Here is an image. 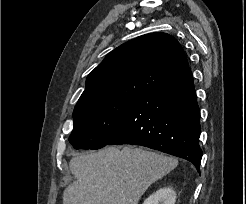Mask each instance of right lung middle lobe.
<instances>
[{
    "mask_svg": "<svg viewBox=\"0 0 246 204\" xmlns=\"http://www.w3.org/2000/svg\"><path fill=\"white\" fill-rule=\"evenodd\" d=\"M137 97H104L76 104L69 142L75 149H99L108 145Z\"/></svg>",
    "mask_w": 246,
    "mask_h": 204,
    "instance_id": "obj_1",
    "label": "right lung middle lobe"
}]
</instances>
